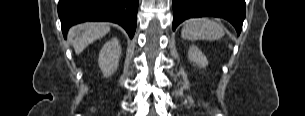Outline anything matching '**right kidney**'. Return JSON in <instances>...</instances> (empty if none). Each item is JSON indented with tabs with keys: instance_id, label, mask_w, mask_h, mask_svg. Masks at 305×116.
<instances>
[{
	"instance_id": "right-kidney-1",
	"label": "right kidney",
	"mask_w": 305,
	"mask_h": 116,
	"mask_svg": "<svg viewBox=\"0 0 305 116\" xmlns=\"http://www.w3.org/2000/svg\"><path fill=\"white\" fill-rule=\"evenodd\" d=\"M121 47L117 38L107 41L99 53L98 64L105 77H109L117 70Z\"/></svg>"
}]
</instances>
